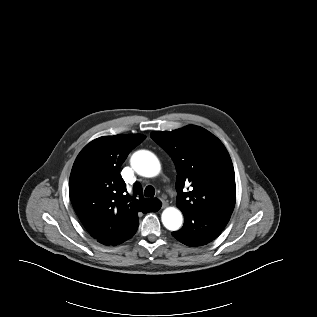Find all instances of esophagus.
I'll return each mask as SVG.
<instances>
[{"mask_svg":"<svg viewBox=\"0 0 317 317\" xmlns=\"http://www.w3.org/2000/svg\"><path fill=\"white\" fill-rule=\"evenodd\" d=\"M161 201H162V207H163V208H165V207L168 206V203H167L166 201H164V200H161Z\"/></svg>","mask_w":317,"mask_h":317,"instance_id":"esophagus-1","label":"esophagus"}]
</instances>
